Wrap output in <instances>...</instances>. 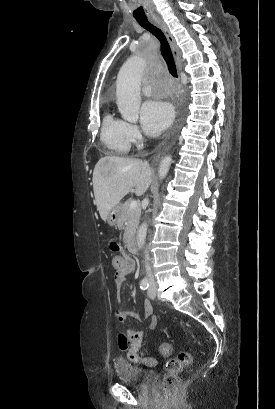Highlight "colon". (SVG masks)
I'll use <instances>...</instances> for the list:
<instances>
[{"label":"colon","mask_w":275,"mask_h":409,"mask_svg":"<svg viewBox=\"0 0 275 409\" xmlns=\"http://www.w3.org/2000/svg\"><path fill=\"white\" fill-rule=\"evenodd\" d=\"M109 246L112 250L117 251L119 245L111 241ZM112 263L116 266L117 269L123 268V258L121 256H114L112 258ZM121 271V270H120ZM161 347L159 348V354L161 358H168L170 354V341L162 340ZM193 356L190 352H180L176 356L170 357L166 362V374L161 380V384L164 388L173 386L177 378L181 375L183 370L192 363Z\"/></svg>","instance_id":"1"}]
</instances>
